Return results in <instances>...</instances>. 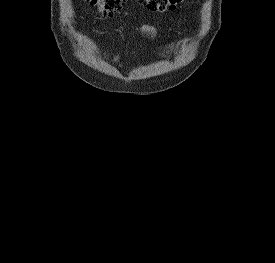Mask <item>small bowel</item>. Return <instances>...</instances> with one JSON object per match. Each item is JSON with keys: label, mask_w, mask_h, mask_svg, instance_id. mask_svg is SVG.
<instances>
[{"label": "small bowel", "mask_w": 275, "mask_h": 263, "mask_svg": "<svg viewBox=\"0 0 275 263\" xmlns=\"http://www.w3.org/2000/svg\"><path fill=\"white\" fill-rule=\"evenodd\" d=\"M142 31L147 35H154L155 34V28L154 26L150 24H145L142 26ZM106 59L111 63H117L120 60V55H114L110 56L108 54H105Z\"/></svg>", "instance_id": "obj_1"}]
</instances>
